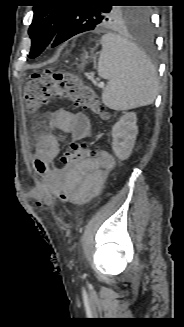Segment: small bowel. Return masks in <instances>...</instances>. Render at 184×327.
Masks as SVG:
<instances>
[{
	"label": "small bowel",
	"instance_id": "small-bowel-1",
	"mask_svg": "<svg viewBox=\"0 0 184 327\" xmlns=\"http://www.w3.org/2000/svg\"><path fill=\"white\" fill-rule=\"evenodd\" d=\"M48 128L50 132L38 139L34 165H52L55 175L45 174V179L53 177V180L42 183L41 188L28 189V194L34 199L33 205L44 206V199H50L52 187L55 189L57 186L66 190L72 203L98 195L108 173L115 166L114 156L108 150H101L96 158L94 153H61L59 139L51 133L55 130L69 133L75 141L90 138L92 127L87 116L61 108L53 113ZM43 153L47 156L44 160L40 157ZM80 160L88 161L80 165Z\"/></svg>",
	"mask_w": 184,
	"mask_h": 327
}]
</instances>
